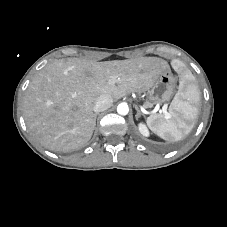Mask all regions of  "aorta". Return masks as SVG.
Masks as SVG:
<instances>
[{"label":"aorta","mask_w":227,"mask_h":227,"mask_svg":"<svg viewBox=\"0 0 227 227\" xmlns=\"http://www.w3.org/2000/svg\"><path fill=\"white\" fill-rule=\"evenodd\" d=\"M117 112L118 114L120 115H127L128 112H129V107L127 104L125 103H120L118 106H117Z\"/></svg>","instance_id":"aorta-1"}]
</instances>
